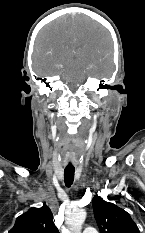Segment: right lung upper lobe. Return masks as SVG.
<instances>
[{"mask_svg":"<svg viewBox=\"0 0 145 233\" xmlns=\"http://www.w3.org/2000/svg\"><path fill=\"white\" fill-rule=\"evenodd\" d=\"M9 233H59L48 206L30 208L16 219Z\"/></svg>","mask_w":145,"mask_h":233,"instance_id":"1","label":"right lung upper lobe"}]
</instances>
